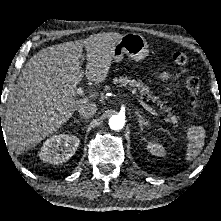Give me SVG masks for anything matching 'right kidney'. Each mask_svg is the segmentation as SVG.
<instances>
[{"mask_svg": "<svg viewBox=\"0 0 221 221\" xmlns=\"http://www.w3.org/2000/svg\"><path fill=\"white\" fill-rule=\"evenodd\" d=\"M79 143V138L74 135H54L44 142L39 157L50 164L64 163L74 155Z\"/></svg>", "mask_w": 221, "mask_h": 221, "instance_id": "1", "label": "right kidney"}]
</instances>
